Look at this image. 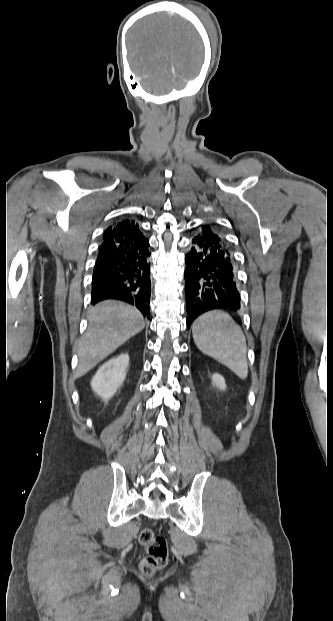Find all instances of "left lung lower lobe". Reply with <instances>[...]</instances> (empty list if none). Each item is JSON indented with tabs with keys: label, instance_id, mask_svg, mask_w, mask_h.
I'll use <instances>...</instances> for the list:
<instances>
[{
	"label": "left lung lower lobe",
	"instance_id": "0a47b994",
	"mask_svg": "<svg viewBox=\"0 0 333 621\" xmlns=\"http://www.w3.org/2000/svg\"><path fill=\"white\" fill-rule=\"evenodd\" d=\"M186 259L188 328L206 311L240 309L233 253L216 232L203 226L192 239Z\"/></svg>",
	"mask_w": 333,
	"mask_h": 621
}]
</instances>
